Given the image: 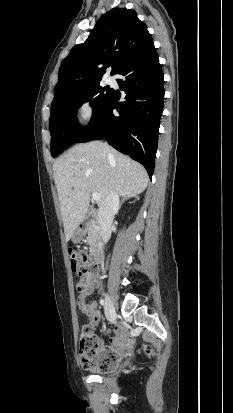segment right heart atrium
Segmentation results:
<instances>
[{
  "instance_id": "right-heart-atrium-1",
  "label": "right heart atrium",
  "mask_w": 233,
  "mask_h": 413,
  "mask_svg": "<svg viewBox=\"0 0 233 413\" xmlns=\"http://www.w3.org/2000/svg\"><path fill=\"white\" fill-rule=\"evenodd\" d=\"M96 117V106L91 99L81 100L76 107V119L83 126L91 125Z\"/></svg>"
}]
</instances>
